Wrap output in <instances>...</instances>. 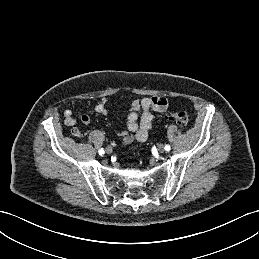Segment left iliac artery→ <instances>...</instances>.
Listing matches in <instances>:
<instances>
[{
	"instance_id": "1",
	"label": "left iliac artery",
	"mask_w": 259,
	"mask_h": 259,
	"mask_svg": "<svg viewBox=\"0 0 259 259\" xmlns=\"http://www.w3.org/2000/svg\"><path fill=\"white\" fill-rule=\"evenodd\" d=\"M170 149H171L170 145H166V146H165V150H166V151H169Z\"/></svg>"
}]
</instances>
